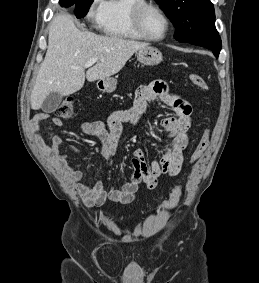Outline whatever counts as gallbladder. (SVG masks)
<instances>
[{
    "label": "gallbladder",
    "mask_w": 259,
    "mask_h": 283,
    "mask_svg": "<svg viewBox=\"0 0 259 283\" xmlns=\"http://www.w3.org/2000/svg\"><path fill=\"white\" fill-rule=\"evenodd\" d=\"M62 101V95L58 93H51L44 100L41 109L46 113L55 112Z\"/></svg>",
    "instance_id": "obj_1"
}]
</instances>
